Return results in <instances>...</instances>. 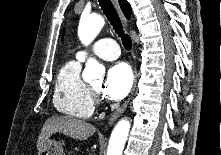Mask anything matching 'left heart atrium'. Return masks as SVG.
<instances>
[{
  "label": "left heart atrium",
  "mask_w": 221,
  "mask_h": 155,
  "mask_svg": "<svg viewBox=\"0 0 221 155\" xmlns=\"http://www.w3.org/2000/svg\"><path fill=\"white\" fill-rule=\"evenodd\" d=\"M133 83V74L125 63H117L107 72L103 93L111 100H120L130 91Z\"/></svg>",
  "instance_id": "left-heart-atrium-1"
}]
</instances>
